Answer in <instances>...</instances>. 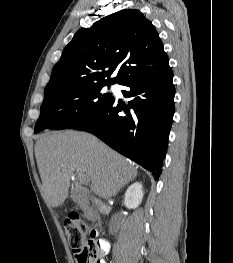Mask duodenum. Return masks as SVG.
Segmentation results:
<instances>
[{
	"label": "duodenum",
	"mask_w": 233,
	"mask_h": 263,
	"mask_svg": "<svg viewBox=\"0 0 233 263\" xmlns=\"http://www.w3.org/2000/svg\"><path fill=\"white\" fill-rule=\"evenodd\" d=\"M80 205L82 209L86 212V215L89 219L94 221L97 218V211L94 208H92L87 201H84Z\"/></svg>",
	"instance_id": "410a0bca"
}]
</instances>
